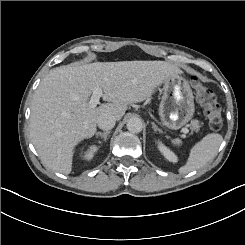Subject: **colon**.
<instances>
[{"label":"colon","instance_id":"obj_1","mask_svg":"<svg viewBox=\"0 0 245 245\" xmlns=\"http://www.w3.org/2000/svg\"><path fill=\"white\" fill-rule=\"evenodd\" d=\"M193 87L197 100L204 108V113L209 126L214 130L220 129L223 124V117L215 93L213 90L202 84L197 78L193 80Z\"/></svg>","mask_w":245,"mask_h":245}]
</instances>
